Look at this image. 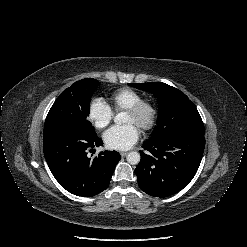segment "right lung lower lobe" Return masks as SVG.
Instances as JSON below:
<instances>
[{
  "label": "right lung lower lobe",
  "mask_w": 247,
  "mask_h": 247,
  "mask_svg": "<svg viewBox=\"0 0 247 247\" xmlns=\"http://www.w3.org/2000/svg\"><path fill=\"white\" fill-rule=\"evenodd\" d=\"M96 134L79 127L55 125L44 128L43 150L47 164L58 183L70 193L92 197L104 191L121 159L117 151L90 157L94 147L102 146Z\"/></svg>",
  "instance_id": "obj_1"
}]
</instances>
